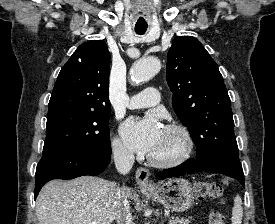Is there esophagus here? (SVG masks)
Instances as JSON below:
<instances>
[{
    "instance_id": "obj_1",
    "label": "esophagus",
    "mask_w": 275,
    "mask_h": 224,
    "mask_svg": "<svg viewBox=\"0 0 275 224\" xmlns=\"http://www.w3.org/2000/svg\"><path fill=\"white\" fill-rule=\"evenodd\" d=\"M136 182L140 188H150L149 171L145 168L139 167L136 170Z\"/></svg>"
}]
</instances>
